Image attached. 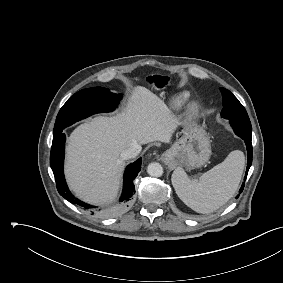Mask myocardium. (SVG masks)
Listing matches in <instances>:
<instances>
[{"mask_svg":"<svg viewBox=\"0 0 283 283\" xmlns=\"http://www.w3.org/2000/svg\"><path fill=\"white\" fill-rule=\"evenodd\" d=\"M200 109V104L196 101H192L187 105L186 113L190 118H195L199 115Z\"/></svg>","mask_w":283,"mask_h":283,"instance_id":"f54148a6","label":"myocardium"}]
</instances>
